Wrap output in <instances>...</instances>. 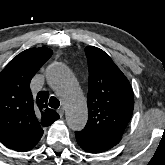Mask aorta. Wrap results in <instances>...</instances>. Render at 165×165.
Returning a JSON list of instances; mask_svg holds the SVG:
<instances>
[{"instance_id":"obj_1","label":"aorta","mask_w":165,"mask_h":165,"mask_svg":"<svg viewBox=\"0 0 165 165\" xmlns=\"http://www.w3.org/2000/svg\"><path fill=\"white\" fill-rule=\"evenodd\" d=\"M46 78L60 93L68 127L82 130L88 119L87 103L72 75L64 65L55 64L49 67Z\"/></svg>"}]
</instances>
